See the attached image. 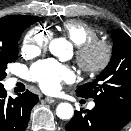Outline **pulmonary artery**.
<instances>
[{
	"label": "pulmonary artery",
	"mask_w": 131,
	"mask_h": 131,
	"mask_svg": "<svg viewBox=\"0 0 131 131\" xmlns=\"http://www.w3.org/2000/svg\"><path fill=\"white\" fill-rule=\"evenodd\" d=\"M94 106H95V103L91 102V103H89L88 108H89V109H93Z\"/></svg>",
	"instance_id": "obj_1"
}]
</instances>
